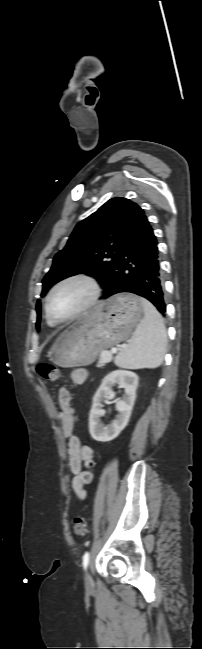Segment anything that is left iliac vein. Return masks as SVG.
<instances>
[{
	"label": "left iliac vein",
	"instance_id": "4c4485c4",
	"mask_svg": "<svg viewBox=\"0 0 202 649\" xmlns=\"http://www.w3.org/2000/svg\"><path fill=\"white\" fill-rule=\"evenodd\" d=\"M84 581H85L86 589L91 590L93 588V586H94V581H93L92 576L90 575V573L88 571L85 573Z\"/></svg>",
	"mask_w": 202,
	"mask_h": 649
}]
</instances>
